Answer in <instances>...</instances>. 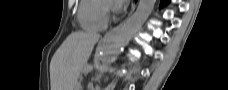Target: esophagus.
Here are the masks:
<instances>
[{
  "label": "esophagus",
  "instance_id": "1",
  "mask_svg": "<svg viewBox=\"0 0 228 90\" xmlns=\"http://www.w3.org/2000/svg\"><path fill=\"white\" fill-rule=\"evenodd\" d=\"M134 9H135V4H133V6H132V9H131V11H130V14L134 11ZM130 14H129V15H130ZM122 24H123V23L119 24L118 26H116V27H114L113 29H111L110 31H108V32L104 35L102 41H106L108 38H110L112 35H114V34L120 29V27L122 26Z\"/></svg>",
  "mask_w": 228,
  "mask_h": 90
}]
</instances>
